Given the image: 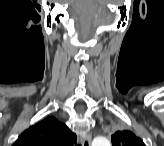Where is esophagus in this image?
I'll list each match as a JSON object with an SVG mask.
<instances>
[{
	"mask_svg": "<svg viewBox=\"0 0 164 146\" xmlns=\"http://www.w3.org/2000/svg\"><path fill=\"white\" fill-rule=\"evenodd\" d=\"M92 136L91 134H86L82 139V146H91Z\"/></svg>",
	"mask_w": 164,
	"mask_h": 146,
	"instance_id": "1",
	"label": "esophagus"
}]
</instances>
